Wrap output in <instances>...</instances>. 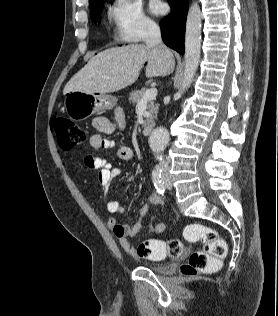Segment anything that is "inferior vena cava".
<instances>
[{"instance_id":"602c4592","label":"inferior vena cava","mask_w":278,"mask_h":316,"mask_svg":"<svg viewBox=\"0 0 278 316\" xmlns=\"http://www.w3.org/2000/svg\"><path fill=\"white\" fill-rule=\"evenodd\" d=\"M144 41L148 46L163 45L159 26L149 21L144 25ZM160 168L163 172L168 171V164L164 159H160Z\"/></svg>"}]
</instances>
